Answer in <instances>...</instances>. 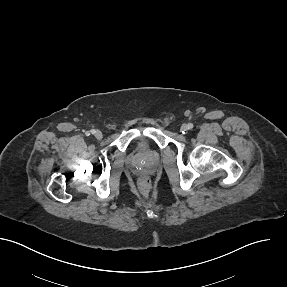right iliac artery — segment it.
<instances>
[{
  "instance_id": "right-iliac-artery-1",
  "label": "right iliac artery",
  "mask_w": 287,
  "mask_h": 287,
  "mask_svg": "<svg viewBox=\"0 0 287 287\" xmlns=\"http://www.w3.org/2000/svg\"><path fill=\"white\" fill-rule=\"evenodd\" d=\"M94 132H95V130H94V129H92L90 132H89V131H88V132H86V135H87V136H89V135H90V133L94 134Z\"/></svg>"
}]
</instances>
